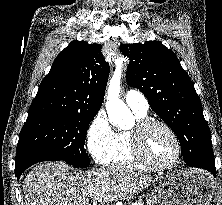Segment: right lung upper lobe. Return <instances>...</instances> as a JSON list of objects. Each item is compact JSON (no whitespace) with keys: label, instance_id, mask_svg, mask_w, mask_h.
Instances as JSON below:
<instances>
[{"label":"right lung upper lobe","instance_id":"obj_1","mask_svg":"<svg viewBox=\"0 0 222 205\" xmlns=\"http://www.w3.org/2000/svg\"><path fill=\"white\" fill-rule=\"evenodd\" d=\"M100 44L72 41L55 59L28 115L50 112L96 114L105 95L109 64Z\"/></svg>","mask_w":222,"mask_h":205}]
</instances>
